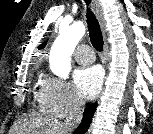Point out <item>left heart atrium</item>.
Instances as JSON below:
<instances>
[{
    "mask_svg": "<svg viewBox=\"0 0 153 134\" xmlns=\"http://www.w3.org/2000/svg\"><path fill=\"white\" fill-rule=\"evenodd\" d=\"M73 79L78 94L83 98L92 99L102 86L103 73L96 66L80 68L75 71Z\"/></svg>",
    "mask_w": 153,
    "mask_h": 134,
    "instance_id": "left-heart-atrium-1",
    "label": "left heart atrium"
}]
</instances>
